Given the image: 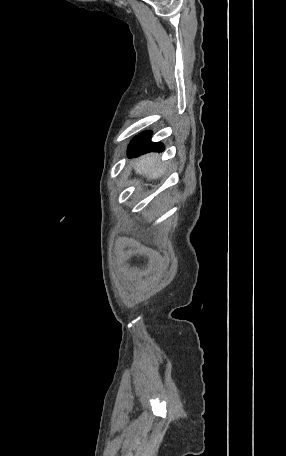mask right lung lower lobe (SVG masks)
I'll return each instance as SVG.
<instances>
[{"mask_svg":"<svg viewBox=\"0 0 286 456\" xmlns=\"http://www.w3.org/2000/svg\"><path fill=\"white\" fill-rule=\"evenodd\" d=\"M151 132H143L136 136L128 148L129 157H136L150 151H161L164 146L160 142H151Z\"/></svg>","mask_w":286,"mask_h":456,"instance_id":"98d812e1","label":"right lung lower lobe"}]
</instances>
